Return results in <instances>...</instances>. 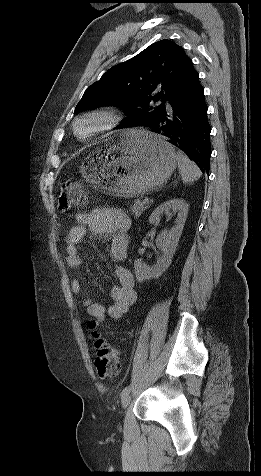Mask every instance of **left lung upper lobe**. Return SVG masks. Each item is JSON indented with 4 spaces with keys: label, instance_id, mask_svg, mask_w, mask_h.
Wrapping results in <instances>:
<instances>
[{
    "label": "left lung upper lobe",
    "instance_id": "left-lung-upper-lobe-1",
    "mask_svg": "<svg viewBox=\"0 0 261 476\" xmlns=\"http://www.w3.org/2000/svg\"><path fill=\"white\" fill-rule=\"evenodd\" d=\"M194 70L181 46L170 40L151 44L132 59L111 67L87 88L74 113L103 105L117 106L128 116L116 128L142 126L164 108ZM162 100L159 107L153 102Z\"/></svg>",
    "mask_w": 261,
    "mask_h": 476
}]
</instances>
